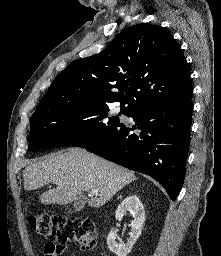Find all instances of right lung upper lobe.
Listing matches in <instances>:
<instances>
[{
    "instance_id": "cb5924a9",
    "label": "right lung upper lobe",
    "mask_w": 221,
    "mask_h": 256,
    "mask_svg": "<svg viewBox=\"0 0 221 256\" xmlns=\"http://www.w3.org/2000/svg\"><path fill=\"white\" fill-rule=\"evenodd\" d=\"M191 93L186 59L176 41L163 27L139 24L125 29L101 53L70 63L35 113L112 102L135 113L151 103Z\"/></svg>"
}]
</instances>
